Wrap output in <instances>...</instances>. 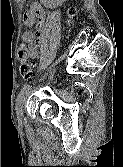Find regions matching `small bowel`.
Instances as JSON below:
<instances>
[{"mask_svg": "<svg viewBox=\"0 0 123 167\" xmlns=\"http://www.w3.org/2000/svg\"><path fill=\"white\" fill-rule=\"evenodd\" d=\"M23 20L27 25L36 23V31H25L22 35V40L27 44L29 58L39 59L46 37L43 30L44 13L37 4H33L31 9L24 14Z\"/></svg>", "mask_w": 123, "mask_h": 167, "instance_id": "obj_1", "label": "small bowel"}]
</instances>
